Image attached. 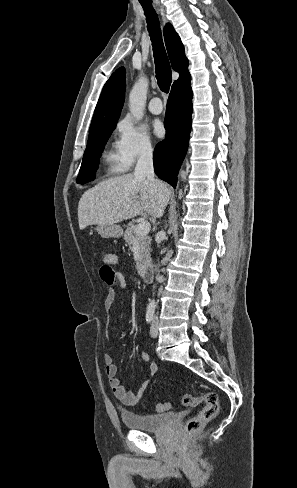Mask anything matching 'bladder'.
<instances>
[{"instance_id":"bladder-1","label":"bladder","mask_w":297,"mask_h":488,"mask_svg":"<svg viewBox=\"0 0 297 488\" xmlns=\"http://www.w3.org/2000/svg\"><path fill=\"white\" fill-rule=\"evenodd\" d=\"M173 417L172 412L157 415H138L129 411L121 413V420L126 428L144 432H156L164 429Z\"/></svg>"}]
</instances>
